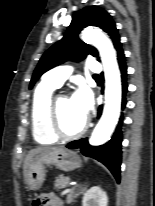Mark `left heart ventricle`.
Listing matches in <instances>:
<instances>
[{"label": "left heart ventricle", "instance_id": "1", "mask_svg": "<svg viewBox=\"0 0 155 206\" xmlns=\"http://www.w3.org/2000/svg\"><path fill=\"white\" fill-rule=\"evenodd\" d=\"M57 108L60 125L66 132H74L81 127L85 118L75 109L71 98L59 96Z\"/></svg>", "mask_w": 155, "mask_h": 206}]
</instances>
